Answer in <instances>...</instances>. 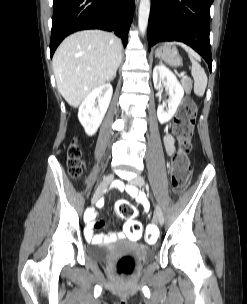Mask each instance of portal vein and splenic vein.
<instances>
[{
    "label": "portal vein and splenic vein",
    "mask_w": 247,
    "mask_h": 304,
    "mask_svg": "<svg viewBox=\"0 0 247 304\" xmlns=\"http://www.w3.org/2000/svg\"><path fill=\"white\" fill-rule=\"evenodd\" d=\"M179 76L183 77V76H184V73H183V72H181V73L179 74Z\"/></svg>",
    "instance_id": "18ae733b"
}]
</instances>
